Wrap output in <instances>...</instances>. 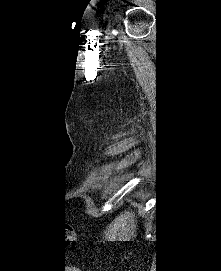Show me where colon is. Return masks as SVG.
Instances as JSON below:
<instances>
[{
    "label": "colon",
    "instance_id": "1",
    "mask_svg": "<svg viewBox=\"0 0 221 271\" xmlns=\"http://www.w3.org/2000/svg\"><path fill=\"white\" fill-rule=\"evenodd\" d=\"M72 237H73V234L69 230H66L63 233L61 239L62 241L69 242L70 240H72Z\"/></svg>",
    "mask_w": 221,
    "mask_h": 271
}]
</instances>
